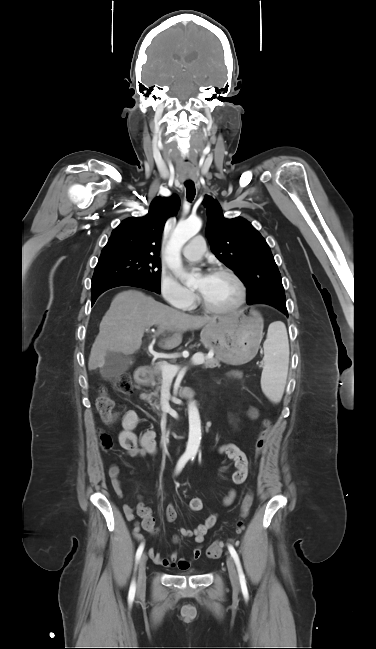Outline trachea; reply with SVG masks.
Instances as JSON below:
<instances>
[{
    "label": "trachea",
    "instance_id": "trachea-1",
    "mask_svg": "<svg viewBox=\"0 0 376 649\" xmlns=\"http://www.w3.org/2000/svg\"><path fill=\"white\" fill-rule=\"evenodd\" d=\"M187 199L192 201L196 194L195 185L193 182L185 183Z\"/></svg>",
    "mask_w": 376,
    "mask_h": 649
}]
</instances>
